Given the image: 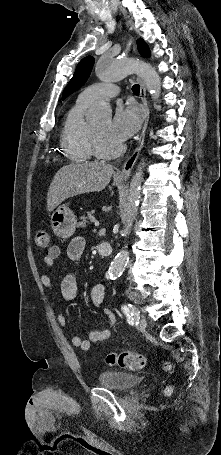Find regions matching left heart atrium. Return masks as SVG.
<instances>
[{
    "label": "left heart atrium",
    "instance_id": "left-heart-atrium-1",
    "mask_svg": "<svg viewBox=\"0 0 221 455\" xmlns=\"http://www.w3.org/2000/svg\"><path fill=\"white\" fill-rule=\"evenodd\" d=\"M140 123L141 115L136 106L119 107L110 123V133L122 142L136 133Z\"/></svg>",
    "mask_w": 221,
    "mask_h": 455
}]
</instances>
